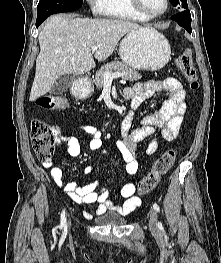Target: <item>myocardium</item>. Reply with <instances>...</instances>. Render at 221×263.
<instances>
[{
    "instance_id": "myocardium-1",
    "label": "myocardium",
    "mask_w": 221,
    "mask_h": 263,
    "mask_svg": "<svg viewBox=\"0 0 221 263\" xmlns=\"http://www.w3.org/2000/svg\"><path fill=\"white\" fill-rule=\"evenodd\" d=\"M130 1H131L132 6L134 7V9L137 12H139L143 16V18H145L146 20L147 19H156V18L164 15L168 11L169 6H170V0H165L164 9L161 12L152 14V13H148L145 11V9L142 6L141 0H130Z\"/></svg>"
}]
</instances>
